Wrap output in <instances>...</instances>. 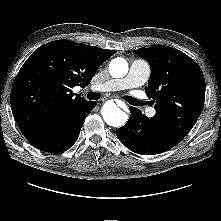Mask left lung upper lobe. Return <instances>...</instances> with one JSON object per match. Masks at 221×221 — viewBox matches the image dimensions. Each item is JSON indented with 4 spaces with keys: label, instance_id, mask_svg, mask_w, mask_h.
I'll list each match as a JSON object with an SVG mask.
<instances>
[{
    "label": "left lung upper lobe",
    "instance_id": "left-lung-upper-lobe-1",
    "mask_svg": "<svg viewBox=\"0 0 221 221\" xmlns=\"http://www.w3.org/2000/svg\"><path fill=\"white\" fill-rule=\"evenodd\" d=\"M134 53L151 66L145 92L155 102L156 121L174 143H179L199 118L205 100V79L199 65L183 52L164 45L139 48Z\"/></svg>",
    "mask_w": 221,
    "mask_h": 221
}]
</instances>
